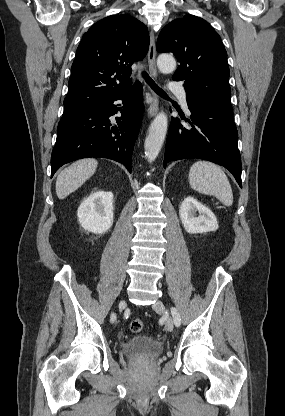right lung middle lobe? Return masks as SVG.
<instances>
[{
  "instance_id": "dd1d6c3e",
  "label": "right lung middle lobe",
  "mask_w": 285,
  "mask_h": 416,
  "mask_svg": "<svg viewBox=\"0 0 285 416\" xmlns=\"http://www.w3.org/2000/svg\"><path fill=\"white\" fill-rule=\"evenodd\" d=\"M75 108H80V107H75ZM74 107H65V110H69V109H75Z\"/></svg>"
}]
</instances>
